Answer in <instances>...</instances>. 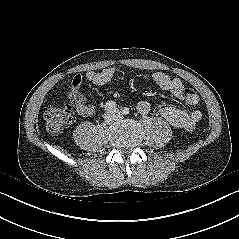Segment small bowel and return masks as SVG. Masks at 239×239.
I'll use <instances>...</instances> for the list:
<instances>
[{
	"mask_svg": "<svg viewBox=\"0 0 239 239\" xmlns=\"http://www.w3.org/2000/svg\"><path fill=\"white\" fill-rule=\"evenodd\" d=\"M115 74L116 69L114 67H108L101 71H88L84 76L76 75L72 79V89L69 92V96L76 102V110L81 116L89 117L94 115L96 111L95 106L89 104L84 94L80 91L83 79H86L95 85H104L111 81ZM152 78L159 88L171 92L178 99H183L182 91L184 89V83L180 78H172L161 71L155 72L152 75ZM137 110L140 114L147 115L151 111L150 102L146 100L140 101L137 104ZM160 114L173 127L186 131H191L202 117L200 110L187 112L173 105L162 107L160 109Z\"/></svg>",
	"mask_w": 239,
	"mask_h": 239,
	"instance_id": "1",
	"label": "small bowel"
}]
</instances>
